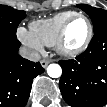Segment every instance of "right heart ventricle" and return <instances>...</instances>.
<instances>
[{
    "label": "right heart ventricle",
    "instance_id": "right-heart-ventricle-1",
    "mask_svg": "<svg viewBox=\"0 0 107 107\" xmlns=\"http://www.w3.org/2000/svg\"><path fill=\"white\" fill-rule=\"evenodd\" d=\"M74 14V11H64L47 19L33 21L30 31L42 45L54 46L64 23Z\"/></svg>",
    "mask_w": 107,
    "mask_h": 107
}]
</instances>
